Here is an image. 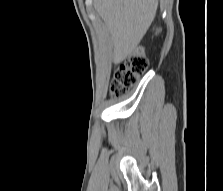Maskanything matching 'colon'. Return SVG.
<instances>
[{"mask_svg":"<svg viewBox=\"0 0 223 191\" xmlns=\"http://www.w3.org/2000/svg\"><path fill=\"white\" fill-rule=\"evenodd\" d=\"M149 66V60L142 50H136L114 72L110 95L121 97L137 84L138 77Z\"/></svg>","mask_w":223,"mask_h":191,"instance_id":"5ec220e1","label":"colon"}]
</instances>
